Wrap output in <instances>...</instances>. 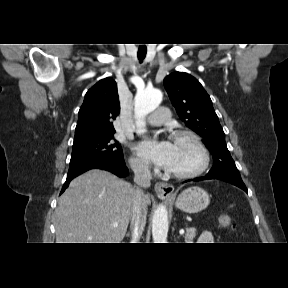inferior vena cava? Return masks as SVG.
I'll list each match as a JSON object with an SVG mask.
<instances>
[{
    "mask_svg": "<svg viewBox=\"0 0 288 288\" xmlns=\"http://www.w3.org/2000/svg\"><path fill=\"white\" fill-rule=\"evenodd\" d=\"M132 170L134 172V182L136 183V187L134 191L131 215V243H137L144 230L147 217V206L145 203L144 189L150 187L152 175L149 166L145 163L133 164Z\"/></svg>",
    "mask_w": 288,
    "mask_h": 288,
    "instance_id": "obj_1",
    "label": "inferior vena cava"
}]
</instances>
